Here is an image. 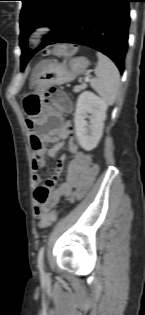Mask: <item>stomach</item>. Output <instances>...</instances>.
<instances>
[{"label":"stomach","mask_w":145,"mask_h":315,"mask_svg":"<svg viewBox=\"0 0 145 315\" xmlns=\"http://www.w3.org/2000/svg\"><path fill=\"white\" fill-rule=\"evenodd\" d=\"M89 61L85 57H75L69 63L45 60L37 74L35 83L41 91L50 85H60L73 81L79 74L86 71ZM39 91H30L21 98V112L34 119L35 116H43V102H40Z\"/></svg>","instance_id":"stomach-1"}]
</instances>
